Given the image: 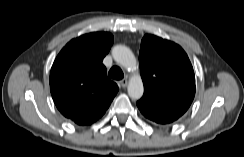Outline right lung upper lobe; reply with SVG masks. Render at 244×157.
<instances>
[{"label":"right lung upper lobe","mask_w":244,"mask_h":157,"mask_svg":"<svg viewBox=\"0 0 244 157\" xmlns=\"http://www.w3.org/2000/svg\"><path fill=\"white\" fill-rule=\"evenodd\" d=\"M113 44L107 32L71 40L50 72V91L58 110L78 125H90L106 112L119 88L107 77L103 58Z\"/></svg>","instance_id":"1"}]
</instances>
